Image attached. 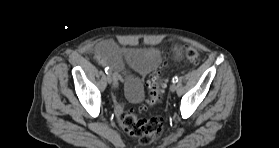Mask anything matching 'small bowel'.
<instances>
[{
  "mask_svg": "<svg viewBox=\"0 0 279 148\" xmlns=\"http://www.w3.org/2000/svg\"><path fill=\"white\" fill-rule=\"evenodd\" d=\"M173 50L175 57L180 59L182 57L181 48L174 45ZM96 57L101 65L107 66L114 72V87L116 88L119 83H123L127 99L130 102L139 103L144 97L142 82L140 78L126 72L124 62L141 76H146L160 63L161 53L154 48L121 51L113 41L103 40L96 46ZM113 101L115 114L119 117L124 112V104L116 93L113 94Z\"/></svg>",
  "mask_w": 279,
  "mask_h": 148,
  "instance_id": "small-bowel-1",
  "label": "small bowel"
}]
</instances>
